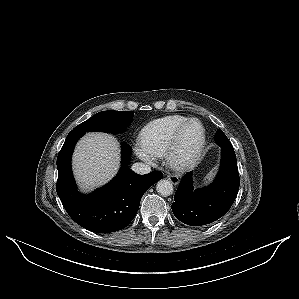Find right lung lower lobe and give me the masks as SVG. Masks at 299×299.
I'll return each mask as SVG.
<instances>
[{
    "instance_id": "right-lung-lower-lobe-1",
    "label": "right lung lower lobe",
    "mask_w": 299,
    "mask_h": 299,
    "mask_svg": "<svg viewBox=\"0 0 299 299\" xmlns=\"http://www.w3.org/2000/svg\"><path fill=\"white\" fill-rule=\"evenodd\" d=\"M83 134L71 131L58 154L57 194L69 216L83 228L97 233L121 230L135 217L143 194L163 174L159 171L146 175L133 172L128 168L132 149L123 144L122 165L116 177L95 192L82 195L77 191L72 176L71 156Z\"/></svg>"
}]
</instances>
